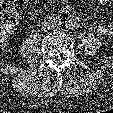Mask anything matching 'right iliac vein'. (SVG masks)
Segmentation results:
<instances>
[{
	"instance_id": "obj_1",
	"label": "right iliac vein",
	"mask_w": 113,
	"mask_h": 113,
	"mask_svg": "<svg viewBox=\"0 0 113 113\" xmlns=\"http://www.w3.org/2000/svg\"><path fill=\"white\" fill-rule=\"evenodd\" d=\"M48 27V22L47 21H45L43 24H42V29H46Z\"/></svg>"
}]
</instances>
